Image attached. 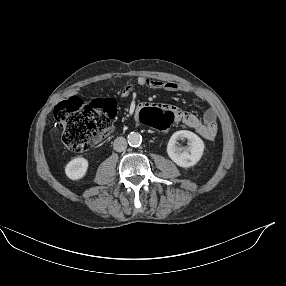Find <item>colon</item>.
Returning <instances> with one entry per match:
<instances>
[{"instance_id": "1", "label": "colon", "mask_w": 286, "mask_h": 286, "mask_svg": "<svg viewBox=\"0 0 286 286\" xmlns=\"http://www.w3.org/2000/svg\"><path fill=\"white\" fill-rule=\"evenodd\" d=\"M116 113V104L110 98L84 102L67 98L55 107V118L62 129L64 146L81 152L99 143L111 132L110 122ZM140 124L155 128V132H170L174 122L172 113L161 107H146L138 116Z\"/></svg>"}]
</instances>
